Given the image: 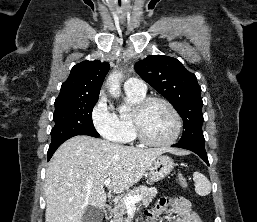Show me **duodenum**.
<instances>
[{
  "label": "duodenum",
  "mask_w": 257,
  "mask_h": 222,
  "mask_svg": "<svg viewBox=\"0 0 257 222\" xmlns=\"http://www.w3.org/2000/svg\"><path fill=\"white\" fill-rule=\"evenodd\" d=\"M103 212L106 218L111 217L112 215V206L107 204L103 207Z\"/></svg>",
  "instance_id": "1"
}]
</instances>
